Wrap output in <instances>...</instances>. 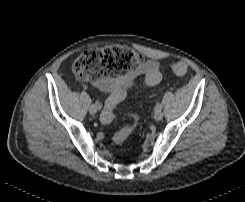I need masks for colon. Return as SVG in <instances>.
<instances>
[{
  "mask_svg": "<svg viewBox=\"0 0 245 202\" xmlns=\"http://www.w3.org/2000/svg\"><path fill=\"white\" fill-rule=\"evenodd\" d=\"M140 60L139 55L125 46L94 48L80 53L73 62V72L80 78L95 80L100 77L117 78L125 75ZM172 71L176 75H186L188 66L184 62H175L172 65ZM155 79L159 74H155ZM114 108L111 104L106 105L101 114V121L109 124L115 119ZM136 117L135 114H132ZM135 126L125 127L112 136V142L116 146L122 145L126 139L133 133Z\"/></svg>",
  "mask_w": 245,
  "mask_h": 202,
  "instance_id": "5ec220e1",
  "label": "colon"
}]
</instances>
